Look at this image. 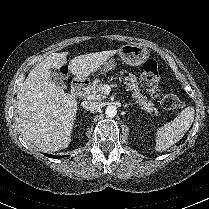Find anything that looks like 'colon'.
I'll use <instances>...</instances> for the list:
<instances>
[{
    "label": "colon",
    "mask_w": 209,
    "mask_h": 209,
    "mask_svg": "<svg viewBox=\"0 0 209 209\" xmlns=\"http://www.w3.org/2000/svg\"><path fill=\"white\" fill-rule=\"evenodd\" d=\"M159 81L160 73L158 63L154 59H148L143 65L141 83L153 98L161 96ZM161 105L167 110H180L184 107V102L176 95L166 94L161 97Z\"/></svg>",
    "instance_id": "colon-1"
}]
</instances>
